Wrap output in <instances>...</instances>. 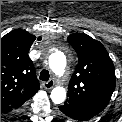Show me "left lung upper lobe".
I'll return each mask as SVG.
<instances>
[{"label":"left lung upper lobe","instance_id":"obj_1","mask_svg":"<svg viewBox=\"0 0 122 122\" xmlns=\"http://www.w3.org/2000/svg\"><path fill=\"white\" fill-rule=\"evenodd\" d=\"M67 40L78 55V64L65 103L97 115L107 106L115 88L113 62L105 47L84 33L71 34Z\"/></svg>","mask_w":122,"mask_h":122}]
</instances>
